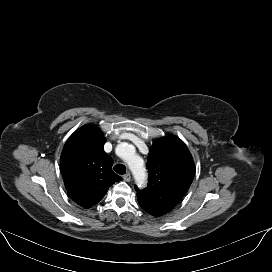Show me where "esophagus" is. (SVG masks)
I'll use <instances>...</instances> for the list:
<instances>
[{"label":"esophagus","instance_id":"34e87169","mask_svg":"<svg viewBox=\"0 0 272 272\" xmlns=\"http://www.w3.org/2000/svg\"><path fill=\"white\" fill-rule=\"evenodd\" d=\"M123 179H124V181L129 182V181L131 180V175H130V173H126V174L123 176Z\"/></svg>","mask_w":272,"mask_h":272}]
</instances>
